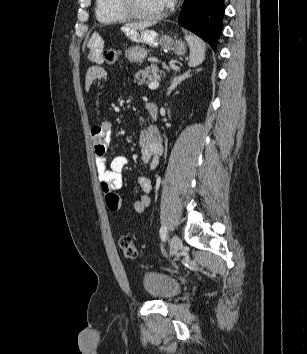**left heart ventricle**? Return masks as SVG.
Masks as SVG:
<instances>
[{
    "label": "left heart ventricle",
    "instance_id": "b2bd125f",
    "mask_svg": "<svg viewBox=\"0 0 307 354\" xmlns=\"http://www.w3.org/2000/svg\"><path fill=\"white\" fill-rule=\"evenodd\" d=\"M133 5L143 14H155L163 9L161 0H133Z\"/></svg>",
    "mask_w": 307,
    "mask_h": 354
}]
</instances>
